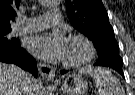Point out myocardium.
<instances>
[{
	"instance_id": "obj_1",
	"label": "myocardium",
	"mask_w": 135,
	"mask_h": 95,
	"mask_svg": "<svg viewBox=\"0 0 135 95\" xmlns=\"http://www.w3.org/2000/svg\"><path fill=\"white\" fill-rule=\"evenodd\" d=\"M69 41L82 42L86 48V55L77 61L63 60L64 66L69 67V68L80 67L90 62L94 58L96 54V49L93 42L87 36L82 35V34H75V35L70 36Z\"/></svg>"
}]
</instances>
